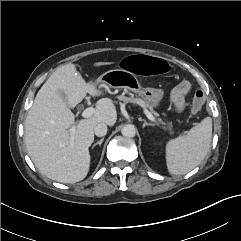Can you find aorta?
Returning a JSON list of instances; mask_svg holds the SVG:
<instances>
[{
	"instance_id": "762f6f07",
	"label": "aorta",
	"mask_w": 241,
	"mask_h": 241,
	"mask_svg": "<svg viewBox=\"0 0 241 241\" xmlns=\"http://www.w3.org/2000/svg\"><path fill=\"white\" fill-rule=\"evenodd\" d=\"M121 133L125 137H134L136 134V129L133 125L127 124L122 128Z\"/></svg>"
}]
</instances>
